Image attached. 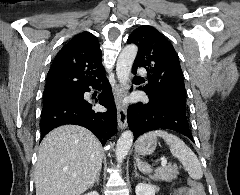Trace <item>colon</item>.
<instances>
[{"label": "colon", "instance_id": "colon-1", "mask_svg": "<svg viewBox=\"0 0 240 195\" xmlns=\"http://www.w3.org/2000/svg\"><path fill=\"white\" fill-rule=\"evenodd\" d=\"M190 190L193 191V193H197V195H202V184L201 183L195 184V181L191 180Z\"/></svg>", "mask_w": 240, "mask_h": 195}]
</instances>
